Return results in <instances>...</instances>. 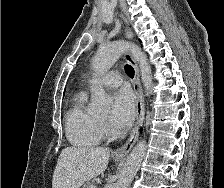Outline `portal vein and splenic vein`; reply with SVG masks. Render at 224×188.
<instances>
[{
  "label": "portal vein and splenic vein",
  "instance_id": "1",
  "mask_svg": "<svg viewBox=\"0 0 224 188\" xmlns=\"http://www.w3.org/2000/svg\"><path fill=\"white\" fill-rule=\"evenodd\" d=\"M91 188H96L95 186H92Z\"/></svg>",
  "mask_w": 224,
  "mask_h": 188
}]
</instances>
